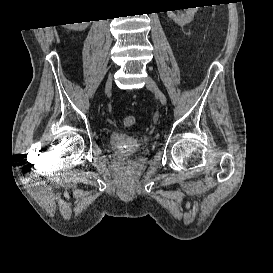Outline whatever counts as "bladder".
<instances>
[{
	"label": "bladder",
	"instance_id": "bladder-1",
	"mask_svg": "<svg viewBox=\"0 0 273 273\" xmlns=\"http://www.w3.org/2000/svg\"><path fill=\"white\" fill-rule=\"evenodd\" d=\"M144 146V140L126 132H112L109 147L112 151L127 157L137 156Z\"/></svg>",
	"mask_w": 273,
	"mask_h": 273
}]
</instances>
